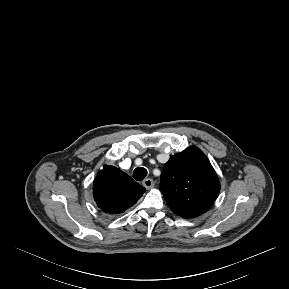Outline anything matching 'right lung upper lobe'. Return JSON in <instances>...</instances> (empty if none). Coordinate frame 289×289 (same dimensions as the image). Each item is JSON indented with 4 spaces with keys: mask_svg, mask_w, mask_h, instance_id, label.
I'll use <instances>...</instances> for the list:
<instances>
[{
    "mask_svg": "<svg viewBox=\"0 0 289 289\" xmlns=\"http://www.w3.org/2000/svg\"><path fill=\"white\" fill-rule=\"evenodd\" d=\"M145 188L114 166L104 165L94 180L93 197L102 211L122 213L143 195Z\"/></svg>",
    "mask_w": 289,
    "mask_h": 289,
    "instance_id": "cb5924a9",
    "label": "right lung upper lobe"
}]
</instances>
